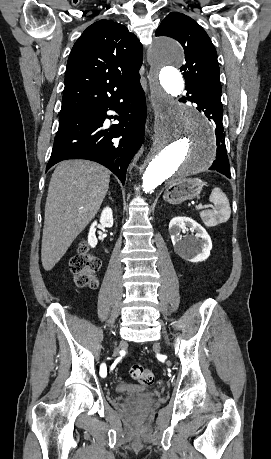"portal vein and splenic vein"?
I'll use <instances>...</instances> for the list:
<instances>
[{
	"instance_id": "1",
	"label": "portal vein and splenic vein",
	"mask_w": 271,
	"mask_h": 459,
	"mask_svg": "<svg viewBox=\"0 0 271 459\" xmlns=\"http://www.w3.org/2000/svg\"><path fill=\"white\" fill-rule=\"evenodd\" d=\"M212 207H215V204H203L202 206H197V210H201V208L204 209H212Z\"/></svg>"
}]
</instances>
